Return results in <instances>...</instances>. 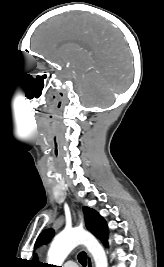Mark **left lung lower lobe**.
Wrapping results in <instances>:
<instances>
[{
    "label": "left lung lower lobe",
    "instance_id": "0a47b994",
    "mask_svg": "<svg viewBox=\"0 0 164 267\" xmlns=\"http://www.w3.org/2000/svg\"><path fill=\"white\" fill-rule=\"evenodd\" d=\"M102 242L104 243V245H105L106 247L108 246V243H107V238H106V239H104Z\"/></svg>",
    "mask_w": 164,
    "mask_h": 267
}]
</instances>
